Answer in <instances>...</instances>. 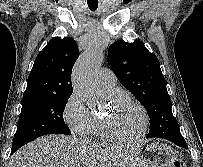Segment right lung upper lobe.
<instances>
[{"label":"right lung upper lobe","mask_w":203,"mask_h":167,"mask_svg":"<svg viewBox=\"0 0 203 167\" xmlns=\"http://www.w3.org/2000/svg\"><path fill=\"white\" fill-rule=\"evenodd\" d=\"M78 57V46L73 38H52L35 59L22 101L71 96V73Z\"/></svg>","instance_id":"cb5924a9"}]
</instances>
